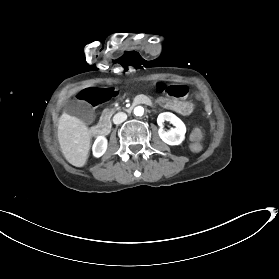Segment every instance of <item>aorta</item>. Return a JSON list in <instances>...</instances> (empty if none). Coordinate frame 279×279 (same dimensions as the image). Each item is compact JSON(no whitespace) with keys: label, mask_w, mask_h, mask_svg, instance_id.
<instances>
[{"label":"aorta","mask_w":279,"mask_h":279,"mask_svg":"<svg viewBox=\"0 0 279 279\" xmlns=\"http://www.w3.org/2000/svg\"><path fill=\"white\" fill-rule=\"evenodd\" d=\"M143 113H144V108H143V107H141V106L135 107V109H134V114H135L136 116H142Z\"/></svg>","instance_id":"obj_1"}]
</instances>
